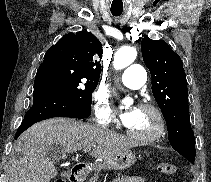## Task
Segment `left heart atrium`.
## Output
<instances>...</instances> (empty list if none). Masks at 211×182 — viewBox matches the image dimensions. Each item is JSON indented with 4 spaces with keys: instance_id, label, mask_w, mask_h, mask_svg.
Listing matches in <instances>:
<instances>
[{
    "instance_id": "1",
    "label": "left heart atrium",
    "mask_w": 211,
    "mask_h": 182,
    "mask_svg": "<svg viewBox=\"0 0 211 182\" xmlns=\"http://www.w3.org/2000/svg\"><path fill=\"white\" fill-rule=\"evenodd\" d=\"M139 108L138 107H133L131 109H129L128 111L124 112L121 115V119L123 121V123L125 125H129L133 122V120L135 119V117L137 116Z\"/></svg>"
}]
</instances>
